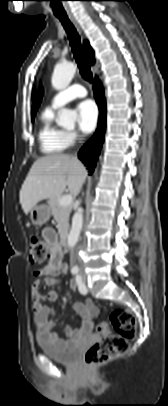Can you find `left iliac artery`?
I'll use <instances>...</instances> for the list:
<instances>
[{"label": "left iliac artery", "mask_w": 168, "mask_h": 406, "mask_svg": "<svg viewBox=\"0 0 168 406\" xmlns=\"http://www.w3.org/2000/svg\"><path fill=\"white\" fill-rule=\"evenodd\" d=\"M75 279H76V284L78 286L79 292L81 294H86L87 288H86L84 282L82 281V277L80 275H77Z\"/></svg>", "instance_id": "obj_1"}]
</instances>
